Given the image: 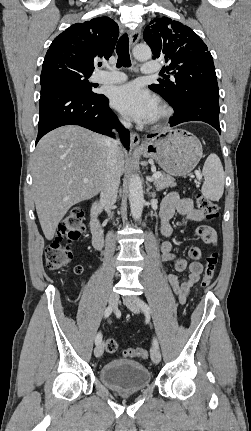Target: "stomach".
Masks as SVG:
<instances>
[{
  "instance_id": "obj_1",
  "label": "stomach",
  "mask_w": 251,
  "mask_h": 431,
  "mask_svg": "<svg viewBox=\"0 0 251 431\" xmlns=\"http://www.w3.org/2000/svg\"><path fill=\"white\" fill-rule=\"evenodd\" d=\"M199 139L183 129L165 131L144 144L139 154L154 159L171 176H185L202 157Z\"/></svg>"
}]
</instances>
